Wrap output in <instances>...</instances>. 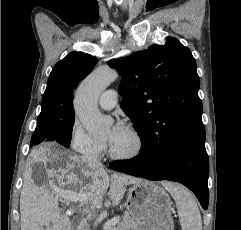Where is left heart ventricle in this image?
<instances>
[{
	"label": "left heart ventricle",
	"mask_w": 241,
	"mask_h": 230,
	"mask_svg": "<svg viewBox=\"0 0 241 230\" xmlns=\"http://www.w3.org/2000/svg\"><path fill=\"white\" fill-rule=\"evenodd\" d=\"M104 140L109 144L110 149L119 155L128 154L135 147L134 138L126 128L115 139H112V129H109Z\"/></svg>",
	"instance_id": "left-heart-ventricle-1"
}]
</instances>
